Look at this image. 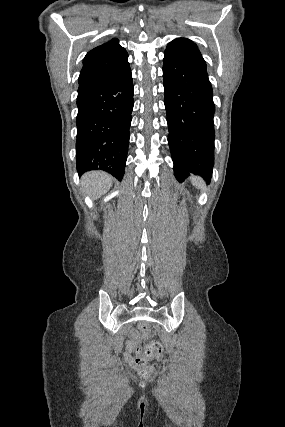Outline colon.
I'll return each mask as SVG.
<instances>
[{"label":"colon","instance_id":"colon-1","mask_svg":"<svg viewBox=\"0 0 285 427\" xmlns=\"http://www.w3.org/2000/svg\"><path fill=\"white\" fill-rule=\"evenodd\" d=\"M141 331L147 333L149 326L147 324L141 325ZM137 337L136 335L134 336ZM140 354L133 357L134 367L139 372L142 378H148L153 371L152 366L148 363L149 358H158L163 355V346L159 341L149 342L144 348L137 349Z\"/></svg>","mask_w":285,"mask_h":427}]
</instances>
